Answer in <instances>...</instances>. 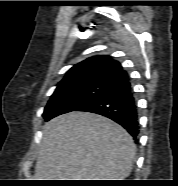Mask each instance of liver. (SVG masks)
<instances>
[{"label": "liver", "mask_w": 178, "mask_h": 186, "mask_svg": "<svg viewBox=\"0 0 178 186\" xmlns=\"http://www.w3.org/2000/svg\"><path fill=\"white\" fill-rule=\"evenodd\" d=\"M136 145L112 120L70 112L46 122L35 180H123L132 170Z\"/></svg>", "instance_id": "liver-1"}]
</instances>
